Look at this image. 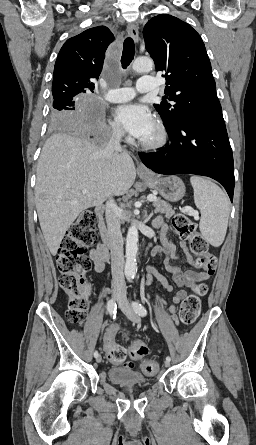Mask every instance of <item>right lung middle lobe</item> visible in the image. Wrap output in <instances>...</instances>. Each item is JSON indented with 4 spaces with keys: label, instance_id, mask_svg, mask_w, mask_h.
I'll list each match as a JSON object with an SVG mask.
<instances>
[{
    "label": "right lung middle lobe",
    "instance_id": "obj_1",
    "mask_svg": "<svg viewBox=\"0 0 256 445\" xmlns=\"http://www.w3.org/2000/svg\"><path fill=\"white\" fill-rule=\"evenodd\" d=\"M82 96V93L73 91L53 94L51 126L54 128L73 126L81 115L79 99Z\"/></svg>",
    "mask_w": 256,
    "mask_h": 445
}]
</instances>
